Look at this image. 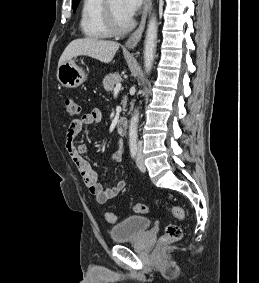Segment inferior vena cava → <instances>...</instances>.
I'll return each instance as SVG.
<instances>
[{"label":"inferior vena cava","instance_id":"obj_1","mask_svg":"<svg viewBox=\"0 0 259 283\" xmlns=\"http://www.w3.org/2000/svg\"><path fill=\"white\" fill-rule=\"evenodd\" d=\"M141 146H142V145H141V142H139V143H138V147L141 148Z\"/></svg>","mask_w":259,"mask_h":283}]
</instances>
